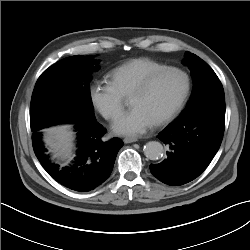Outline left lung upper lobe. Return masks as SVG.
<instances>
[{
	"mask_svg": "<svg viewBox=\"0 0 250 250\" xmlns=\"http://www.w3.org/2000/svg\"><path fill=\"white\" fill-rule=\"evenodd\" d=\"M183 63L190 69L194 85L188 104L179 118L207 103L224 98L219 78L205 61L195 54L187 52Z\"/></svg>",
	"mask_w": 250,
	"mask_h": 250,
	"instance_id": "1",
	"label": "left lung upper lobe"
}]
</instances>
